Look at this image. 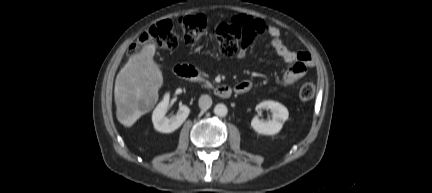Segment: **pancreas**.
<instances>
[{
	"instance_id": "cf45deb5",
	"label": "pancreas",
	"mask_w": 432,
	"mask_h": 193,
	"mask_svg": "<svg viewBox=\"0 0 432 193\" xmlns=\"http://www.w3.org/2000/svg\"><path fill=\"white\" fill-rule=\"evenodd\" d=\"M205 77H207L208 75H206V74H203ZM206 87H208V88H212L213 87V85L209 82V81H207L206 82Z\"/></svg>"
}]
</instances>
